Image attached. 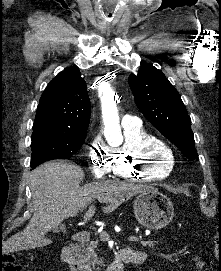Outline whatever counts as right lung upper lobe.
<instances>
[{
    "label": "right lung upper lobe",
    "mask_w": 221,
    "mask_h": 271,
    "mask_svg": "<svg viewBox=\"0 0 221 271\" xmlns=\"http://www.w3.org/2000/svg\"><path fill=\"white\" fill-rule=\"evenodd\" d=\"M91 114L86 82L78 69L58 74L43 92L33 132L87 133Z\"/></svg>",
    "instance_id": "cb5924a9"
}]
</instances>
